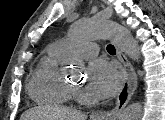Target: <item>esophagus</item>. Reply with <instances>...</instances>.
<instances>
[{
    "label": "esophagus",
    "mask_w": 165,
    "mask_h": 120,
    "mask_svg": "<svg viewBox=\"0 0 165 120\" xmlns=\"http://www.w3.org/2000/svg\"><path fill=\"white\" fill-rule=\"evenodd\" d=\"M116 50L118 58L126 70V78L117 96L115 107L107 112L94 113L92 115L93 120H115L127 105L137 87V75L133 66L119 48H116Z\"/></svg>",
    "instance_id": "esophagus-1"
}]
</instances>
